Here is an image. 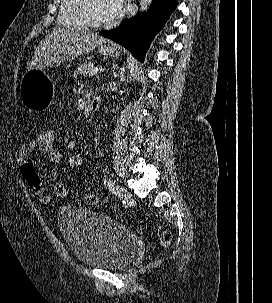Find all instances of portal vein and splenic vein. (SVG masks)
<instances>
[{
	"instance_id": "18ae733b",
	"label": "portal vein and splenic vein",
	"mask_w": 272,
	"mask_h": 303,
	"mask_svg": "<svg viewBox=\"0 0 272 303\" xmlns=\"http://www.w3.org/2000/svg\"><path fill=\"white\" fill-rule=\"evenodd\" d=\"M104 69L103 68H93L90 72H89V76H94L99 72H103Z\"/></svg>"
}]
</instances>
